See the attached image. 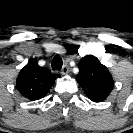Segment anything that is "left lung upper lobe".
<instances>
[{"instance_id": "left-lung-upper-lobe-1", "label": "left lung upper lobe", "mask_w": 133, "mask_h": 133, "mask_svg": "<svg viewBox=\"0 0 133 133\" xmlns=\"http://www.w3.org/2000/svg\"><path fill=\"white\" fill-rule=\"evenodd\" d=\"M77 82L93 102L104 101L114 86L107 67L93 55H87L80 60Z\"/></svg>"}]
</instances>
